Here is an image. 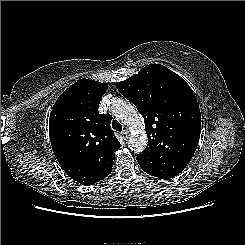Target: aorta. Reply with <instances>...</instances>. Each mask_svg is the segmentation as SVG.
Returning a JSON list of instances; mask_svg holds the SVG:
<instances>
[{"label": "aorta", "instance_id": "aorta-1", "mask_svg": "<svg viewBox=\"0 0 245 245\" xmlns=\"http://www.w3.org/2000/svg\"><path fill=\"white\" fill-rule=\"evenodd\" d=\"M112 113L131 131L128 145L135 153L142 152L147 145V134L142 116L125 100L115 98L111 104Z\"/></svg>", "mask_w": 245, "mask_h": 245}]
</instances>
